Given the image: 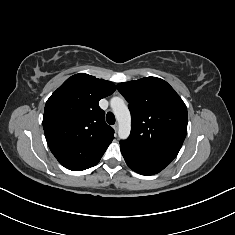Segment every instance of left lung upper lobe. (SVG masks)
Wrapping results in <instances>:
<instances>
[{
	"label": "left lung upper lobe",
	"instance_id": "1",
	"mask_svg": "<svg viewBox=\"0 0 235 235\" xmlns=\"http://www.w3.org/2000/svg\"><path fill=\"white\" fill-rule=\"evenodd\" d=\"M129 103L131 134L120 143L167 164L177 156L187 134L185 103L164 80L146 77L117 85Z\"/></svg>",
	"mask_w": 235,
	"mask_h": 235
}]
</instances>
